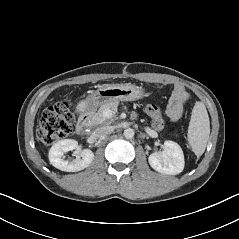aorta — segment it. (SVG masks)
<instances>
[{"instance_id":"1","label":"aorta","mask_w":239,"mask_h":239,"mask_svg":"<svg viewBox=\"0 0 239 239\" xmlns=\"http://www.w3.org/2000/svg\"><path fill=\"white\" fill-rule=\"evenodd\" d=\"M124 136L126 139H132L134 137V130L131 128H127L124 130Z\"/></svg>"}]
</instances>
